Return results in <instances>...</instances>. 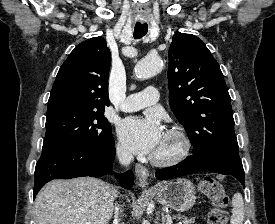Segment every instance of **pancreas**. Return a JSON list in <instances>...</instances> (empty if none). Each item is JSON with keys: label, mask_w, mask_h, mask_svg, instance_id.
Returning <instances> with one entry per match:
<instances>
[{"label": "pancreas", "mask_w": 275, "mask_h": 224, "mask_svg": "<svg viewBox=\"0 0 275 224\" xmlns=\"http://www.w3.org/2000/svg\"><path fill=\"white\" fill-rule=\"evenodd\" d=\"M178 220H181L183 222V224H195V219L194 218H187L184 216H179V217H175Z\"/></svg>", "instance_id": "pancreas-1"}]
</instances>
